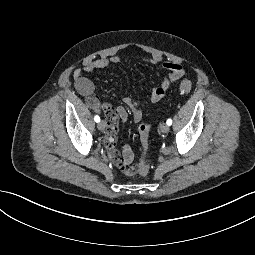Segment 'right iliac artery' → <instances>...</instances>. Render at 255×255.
Masks as SVG:
<instances>
[{"label": "right iliac artery", "mask_w": 255, "mask_h": 255, "mask_svg": "<svg viewBox=\"0 0 255 255\" xmlns=\"http://www.w3.org/2000/svg\"><path fill=\"white\" fill-rule=\"evenodd\" d=\"M94 120H95L96 122H99V121H100V117H99L98 115H96V116L94 117Z\"/></svg>", "instance_id": "right-iliac-artery-1"}]
</instances>
